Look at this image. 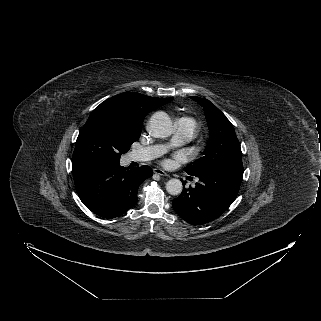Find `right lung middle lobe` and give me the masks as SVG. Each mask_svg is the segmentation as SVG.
Wrapping results in <instances>:
<instances>
[{"label": "right lung middle lobe", "mask_w": 321, "mask_h": 321, "mask_svg": "<svg viewBox=\"0 0 321 321\" xmlns=\"http://www.w3.org/2000/svg\"><path fill=\"white\" fill-rule=\"evenodd\" d=\"M141 127L130 124L118 112L97 107L76 140L72 168L117 164L140 137Z\"/></svg>", "instance_id": "right-lung-middle-lobe-1"}]
</instances>
